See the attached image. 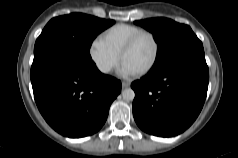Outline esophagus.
<instances>
[{
    "label": "esophagus",
    "mask_w": 238,
    "mask_h": 158,
    "mask_svg": "<svg viewBox=\"0 0 238 158\" xmlns=\"http://www.w3.org/2000/svg\"><path fill=\"white\" fill-rule=\"evenodd\" d=\"M130 86L129 82H122V88H127Z\"/></svg>",
    "instance_id": "34e87169"
}]
</instances>
